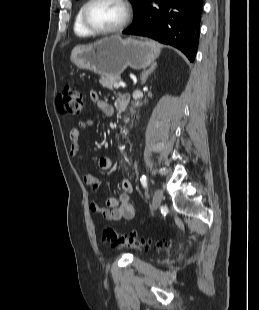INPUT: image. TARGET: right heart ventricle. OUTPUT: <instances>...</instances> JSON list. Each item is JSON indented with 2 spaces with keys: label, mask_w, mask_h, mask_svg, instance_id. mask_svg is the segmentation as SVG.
<instances>
[{
  "label": "right heart ventricle",
  "mask_w": 259,
  "mask_h": 310,
  "mask_svg": "<svg viewBox=\"0 0 259 310\" xmlns=\"http://www.w3.org/2000/svg\"><path fill=\"white\" fill-rule=\"evenodd\" d=\"M85 5V3H83L77 10L76 15L74 17V22H73V30L74 33L79 36V37H89L92 34L86 30V28L83 26L82 24V20H81V13H82V9L83 6Z\"/></svg>",
  "instance_id": "1"
}]
</instances>
